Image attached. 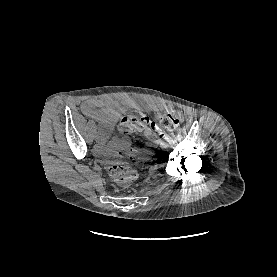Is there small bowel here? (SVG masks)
Here are the masks:
<instances>
[{"label": "small bowel", "instance_id": "small-bowel-1", "mask_svg": "<svg viewBox=\"0 0 277 277\" xmlns=\"http://www.w3.org/2000/svg\"><path fill=\"white\" fill-rule=\"evenodd\" d=\"M126 107H146L154 112L159 118L168 108L160 104L140 105L132 100H123L121 102L108 98H89L81 104L82 112L89 118L97 121L102 128L99 130L98 152L103 151V145L108 134L112 131L119 116L125 111ZM152 135V131L148 132Z\"/></svg>", "mask_w": 277, "mask_h": 277}]
</instances>
